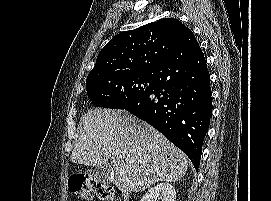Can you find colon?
<instances>
[{
	"mask_svg": "<svg viewBox=\"0 0 271 201\" xmlns=\"http://www.w3.org/2000/svg\"><path fill=\"white\" fill-rule=\"evenodd\" d=\"M70 190L83 201H90L95 195L102 201H116L114 189L93 177H77L69 182Z\"/></svg>",
	"mask_w": 271,
	"mask_h": 201,
	"instance_id": "1",
	"label": "colon"
}]
</instances>
